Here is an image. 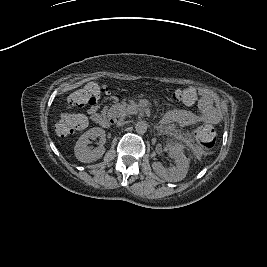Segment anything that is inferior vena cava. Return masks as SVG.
<instances>
[{
  "label": "inferior vena cava",
  "instance_id": "obj_1",
  "mask_svg": "<svg viewBox=\"0 0 267 267\" xmlns=\"http://www.w3.org/2000/svg\"><path fill=\"white\" fill-rule=\"evenodd\" d=\"M119 126H123L124 124H125V122L124 121H118V123H117Z\"/></svg>",
  "mask_w": 267,
  "mask_h": 267
}]
</instances>
